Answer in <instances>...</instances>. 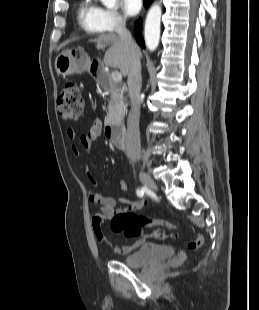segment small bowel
<instances>
[{
    "instance_id": "c3829d8e",
    "label": "small bowel",
    "mask_w": 259,
    "mask_h": 310,
    "mask_svg": "<svg viewBox=\"0 0 259 310\" xmlns=\"http://www.w3.org/2000/svg\"><path fill=\"white\" fill-rule=\"evenodd\" d=\"M101 133H102V123L99 119H96L90 126L89 130L79 137V145L75 143L71 145L72 153L75 156H79L80 146L85 150H90L94 142L100 137ZM66 135L70 140H74L76 137V133L72 128L67 129ZM86 175L90 183L93 185V187L97 188L98 182L88 166H86ZM118 188L119 191L123 192L126 189V182L124 181L119 182ZM88 202L91 209L92 228L96 235V238L102 245L108 247L116 254L128 255L146 243L147 238L144 237L135 241L131 245L119 246L111 242L106 237L103 228L104 222L111 220L112 217L118 212L138 211L143 209L147 205V201L144 198L138 201L129 202L127 204V207L121 210L117 208L116 200L113 197L105 196L94 191L88 195Z\"/></svg>"
}]
</instances>
